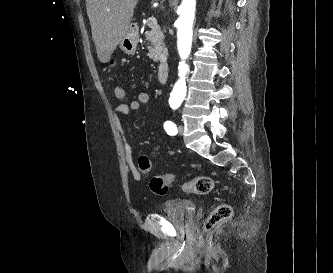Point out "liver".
<instances>
[{"instance_id":"1","label":"liver","mask_w":333,"mask_h":273,"mask_svg":"<svg viewBox=\"0 0 333 273\" xmlns=\"http://www.w3.org/2000/svg\"><path fill=\"white\" fill-rule=\"evenodd\" d=\"M138 0H86L92 37L100 62L109 61L127 34Z\"/></svg>"}]
</instances>
